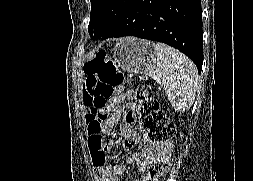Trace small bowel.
I'll list each match as a JSON object with an SVG mask.
<instances>
[{"label": "small bowel", "mask_w": 253, "mask_h": 181, "mask_svg": "<svg viewBox=\"0 0 253 181\" xmlns=\"http://www.w3.org/2000/svg\"><path fill=\"white\" fill-rule=\"evenodd\" d=\"M86 94L87 87L85 88L84 86V101ZM125 102H128L129 106L127 111L123 112L117 106ZM107 107L110 114L108 119L104 122L90 120V118L93 117L90 112L86 116L88 125V145L92 151V162L97 173V181H120L127 167L135 163H139V172L143 175H147L149 164L159 155L158 147L150 139L143 135L135 136L134 139L140 146V150L129 155L125 163L113 164L108 162V153L113 147L114 142H105L102 137L103 134H109L114 125L123 118L124 127L122 129V136L125 139L131 138L129 128L132 126L135 119L133 113V109L136 107L135 92L133 90H118L109 100ZM145 177L146 176L137 178L134 181H145Z\"/></svg>", "instance_id": "1"}]
</instances>
